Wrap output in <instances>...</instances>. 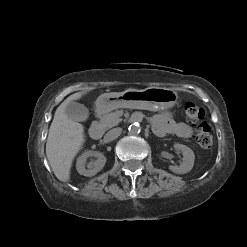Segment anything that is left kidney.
I'll return each instance as SVG.
<instances>
[{
	"label": "left kidney",
	"instance_id": "5707ae66",
	"mask_svg": "<svg viewBox=\"0 0 247 247\" xmlns=\"http://www.w3.org/2000/svg\"><path fill=\"white\" fill-rule=\"evenodd\" d=\"M174 148L182 152L183 161L180 166H169V169L176 174H186L193 168L195 155L191 148L186 145L176 143Z\"/></svg>",
	"mask_w": 247,
	"mask_h": 247
}]
</instances>
